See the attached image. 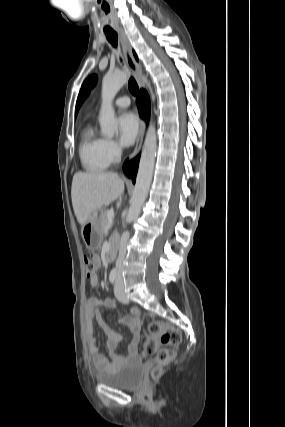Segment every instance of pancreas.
I'll return each mask as SVG.
<instances>
[{
  "label": "pancreas",
  "mask_w": 285,
  "mask_h": 427,
  "mask_svg": "<svg viewBox=\"0 0 285 427\" xmlns=\"http://www.w3.org/2000/svg\"><path fill=\"white\" fill-rule=\"evenodd\" d=\"M108 212L109 210H104L101 213L100 220H99V230L101 231V233H104L106 225L108 223V216H107Z\"/></svg>",
  "instance_id": "cf45deb5"
}]
</instances>
